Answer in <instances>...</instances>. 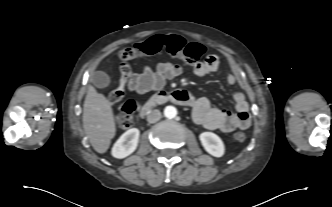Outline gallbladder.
Masks as SVG:
<instances>
[{"label": "gallbladder", "mask_w": 332, "mask_h": 207, "mask_svg": "<svg viewBox=\"0 0 332 207\" xmlns=\"http://www.w3.org/2000/svg\"><path fill=\"white\" fill-rule=\"evenodd\" d=\"M93 84L98 88H105L110 85V77L102 71H97L92 77Z\"/></svg>", "instance_id": "bac80fb5"}]
</instances>
